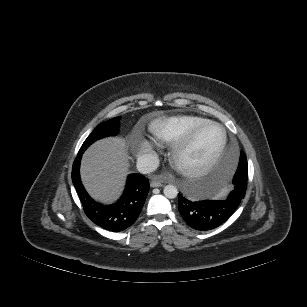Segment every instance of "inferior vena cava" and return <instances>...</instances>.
<instances>
[{"label":"inferior vena cava","instance_id":"1","mask_svg":"<svg viewBox=\"0 0 307 307\" xmlns=\"http://www.w3.org/2000/svg\"><path fill=\"white\" fill-rule=\"evenodd\" d=\"M159 166V159L155 153L141 155L137 159V170L142 174H148L157 169Z\"/></svg>","mask_w":307,"mask_h":307}]
</instances>
